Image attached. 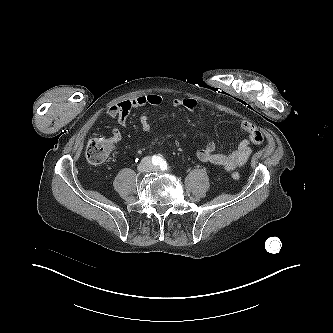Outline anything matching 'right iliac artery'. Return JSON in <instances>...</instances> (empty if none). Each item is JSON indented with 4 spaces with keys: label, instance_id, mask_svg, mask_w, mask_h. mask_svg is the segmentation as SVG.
I'll return each mask as SVG.
<instances>
[{
    "label": "right iliac artery",
    "instance_id": "82829eb1",
    "mask_svg": "<svg viewBox=\"0 0 333 333\" xmlns=\"http://www.w3.org/2000/svg\"><path fill=\"white\" fill-rule=\"evenodd\" d=\"M161 161H162V158L160 156H158V155L152 156V163L154 165H160Z\"/></svg>",
    "mask_w": 333,
    "mask_h": 333
}]
</instances>
